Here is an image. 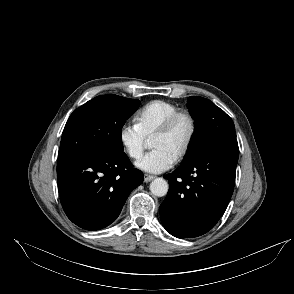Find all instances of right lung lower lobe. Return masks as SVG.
I'll return each instance as SVG.
<instances>
[{"instance_id":"1","label":"right lung lower lobe","mask_w":294,"mask_h":294,"mask_svg":"<svg viewBox=\"0 0 294 294\" xmlns=\"http://www.w3.org/2000/svg\"><path fill=\"white\" fill-rule=\"evenodd\" d=\"M58 191L68 218L86 230L110 225L130 192L143 182L123 151L68 157L57 163Z\"/></svg>"}]
</instances>
